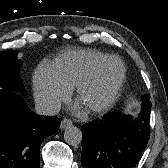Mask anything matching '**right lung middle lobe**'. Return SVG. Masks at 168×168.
Instances as JSON below:
<instances>
[{"label": "right lung middle lobe", "instance_id": "right-lung-middle-lobe-1", "mask_svg": "<svg viewBox=\"0 0 168 168\" xmlns=\"http://www.w3.org/2000/svg\"><path fill=\"white\" fill-rule=\"evenodd\" d=\"M16 55L13 50L0 52V88L5 90H24L19 74L22 61Z\"/></svg>", "mask_w": 168, "mask_h": 168}]
</instances>
